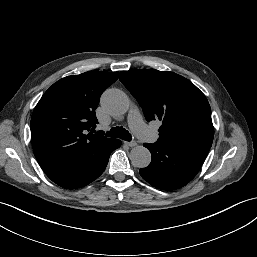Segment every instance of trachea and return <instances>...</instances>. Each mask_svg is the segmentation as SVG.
Wrapping results in <instances>:
<instances>
[{
  "label": "trachea",
  "instance_id": "3493384b",
  "mask_svg": "<svg viewBox=\"0 0 257 257\" xmlns=\"http://www.w3.org/2000/svg\"><path fill=\"white\" fill-rule=\"evenodd\" d=\"M107 137L120 138L125 141H131V134L123 127H114L106 133Z\"/></svg>",
  "mask_w": 257,
  "mask_h": 257
}]
</instances>
